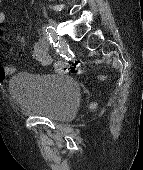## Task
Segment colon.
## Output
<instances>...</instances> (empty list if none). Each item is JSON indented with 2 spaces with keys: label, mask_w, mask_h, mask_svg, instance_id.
<instances>
[{
  "label": "colon",
  "mask_w": 143,
  "mask_h": 170,
  "mask_svg": "<svg viewBox=\"0 0 143 170\" xmlns=\"http://www.w3.org/2000/svg\"><path fill=\"white\" fill-rule=\"evenodd\" d=\"M57 69L62 71V70H66V69H69L68 68V65L64 62H60L58 65H57ZM71 70L74 71V72H80V64L78 63H75L72 67H71Z\"/></svg>",
  "instance_id": "colon-1"
}]
</instances>
